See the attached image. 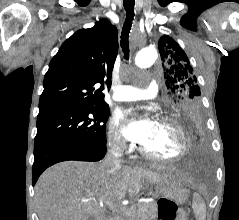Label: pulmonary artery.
I'll return each instance as SVG.
<instances>
[{
	"label": "pulmonary artery",
	"instance_id": "1",
	"mask_svg": "<svg viewBox=\"0 0 239 220\" xmlns=\"http://www.w3.org/2000/svg\"><path fill=\"white\" fill-rule=\"evenodd\" d=\"M158 93V84L152 80L146 87L120 85L114 88L113 99L116 101H136L152 99Z\"/></svg>",
	"mask_w": 239,
	"mask_h": 220
}]
</instances>
